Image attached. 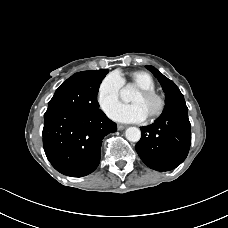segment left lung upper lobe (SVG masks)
<instances>
[{
    "label": "left lung upper lobe",
    "instance_id": "5c2ea615",
    "mask_svg": "<svg viewBox=\"0 0 228 228\" xmlns=\"http://www.w3.org/2000/svg\"><path fill=\"white\" fill-rule=\"evenodd\" d=\"M146 68L151 71L154 76L159 80L163 91L166 95V106L171 104L173 101L177 99L184 98L183 94L180 92L179 88L174 84L173 81L165 77L162 73H160L155 67L153 66H146Z\"/></svg>",
    "mask_w": 228,
    "mask_h": 228
}]
</instances>
